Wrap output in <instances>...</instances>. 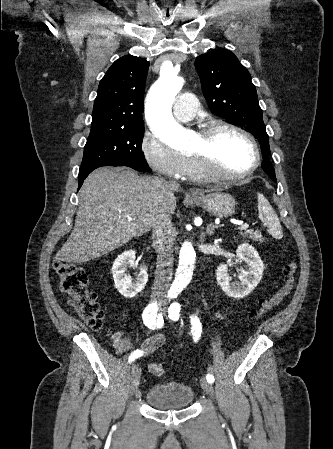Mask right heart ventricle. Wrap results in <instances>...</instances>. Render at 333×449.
<instances>
[{"label":"right heart ventricle","instance_id":"e07e8e85","mask_svg":"<svg viewBox=\"0 0 333 449\" xmlns=\"http://www.w3.org/2000/svg\"><path fill=\"white\" fill-rule=\"evenodd\" d=\"M182 177L196 180L203 178L199 173L194 161L189 156L186 157V166Z\"/></svg>","mask_w":333,"mask_h":449}]
</instances>
